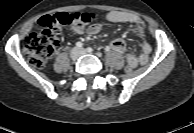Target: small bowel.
I'll use <instances>...</instances> for the list:
<instances>
[{
	"label": "small bowel",
	"instance_id": "c3829d8e",
	"mask_svg": "<svg viewBox=\"0 0 194 133\" xmlns=\"http://www.w3.org/2000/svg\"><path fill=\"white\" fill-rule=\"evenodd\" d=\"M106 19L114 23H131L136 26V30L142 39L141 52L139 55L128 53L126 56L127 64L132 66V68L146 64L149 60L152 48L150 43L146 40L147 26L145 22L138 15L124 11H111L107 13ZM101 28V24L95 23L89 27L88 31L90 34H96ZM107 49L122 53L126 50V45L121 38H117L111 42Z\"/></svg>",
	"mask_w": 194,
	"mask_h": 133
}]
</instances>
